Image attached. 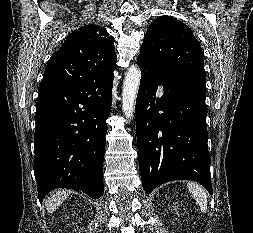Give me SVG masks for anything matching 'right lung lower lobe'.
<instances>
[{
    "label": "right lung lower lobe",
    "instance_id": "1",
    "mask_svg": "<svg viewBox=\"0 0 253 233\" xmlns=\"http://www.w3.org/2000/svg\"><path fill=\"white\" fill-rule=\"evenodd\" d=\"M112 86L113 71L39 91L34 174L40 202L57 188L82 190L94 199L102 196Z\"/></svg>",
    "mask_w": 253,
    "mask_h": 233
}]
</instances>
